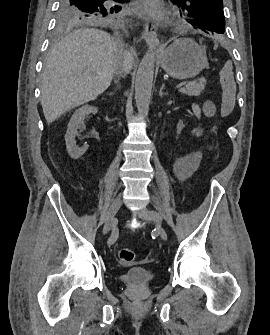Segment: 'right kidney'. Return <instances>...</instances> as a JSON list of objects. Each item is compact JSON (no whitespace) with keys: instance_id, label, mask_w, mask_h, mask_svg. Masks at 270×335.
<instances>
[{"instance_id":"ca27d5eb","label":"right kidney","mask_w":270,"mask_h":335,"mask_svg":"<svg viewBox=\"0 0 270 335\" xmlns=\"http://www.w3.org/2000/svg\"><path fill=\"white\" fill-rule=\"evenodd\" d=\"M97 112L98 108H93V106H82V108H78V110L74 112L68 124V130L65 134V142L67 152L71 158H74V160H78L80 156H83L88 148V144H84L82 148L76 146L75 136H77V130L78 128H81V126H84L83 120H85V116H89V114H97Z\"/></svg>"}]
</instances>
